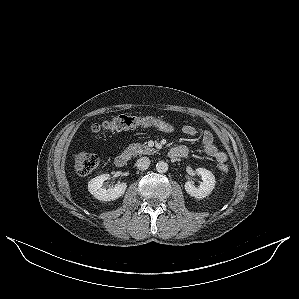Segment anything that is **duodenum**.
Here are the masks:
<instances>
[{
  "mask_svg": "<svg viewBox=\"0 0 299 299\" xmlns=\"http://www.w3.org/2000/svg\"><path fill=\"white\" fill-rule=\"evenodd\" d=\"M188 154V149L186 147H173L170 151H169V156L170 157H184ZM129 155L127 153H122L119 154L116 158H115V166L117 168H125L128 163H129Z\"/></svg>",
  "mask_w": 299,
  "mask_h": 299,
  "instance_id": "obj_1",
  "label": "duodenum"
}]
</instances>
